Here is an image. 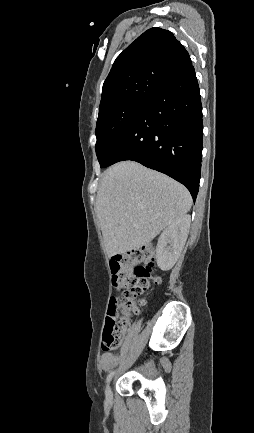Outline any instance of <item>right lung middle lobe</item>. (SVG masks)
Returning a JSON list of instances; mask_svg holds the SVG:
<instances>
[{
  "label": "right lung middle lobe",
  "instance_id": "obj_1",
  "mask_svg": "<svg viewBox=\"0 0 254 433\" xmlns=\"http://www.w3.org/2000/svg\"><path fill=\"white\" fill-rule=\"evenodd\" d=\"M149 99H126L99 109L96 124V155L101 168H105L114 147Z\"/></svg>",
  "mask_w": 254,
  "mask_h": 433
}]
</instances>
